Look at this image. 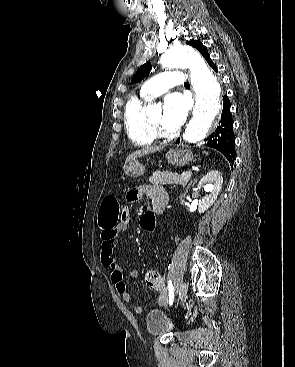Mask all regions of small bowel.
Here are the masks:
<instances>
[{"instance_id":"obj_1","label":"small bowel","mask_w":295,"mask_h":367,"mask_svg":"<svg viewBox=\"0 0 295 367\" xmlns=\"http://www.w3.org/2000/svg\"><path fill=\"white\" fill-rule=\"evenodd\" d=\"M147 196L151 199L152 204L155 201H163L167 203L168 195L162 186L158 185H142L139 187L132 188L127 194V200L130 203L138 202ZM131 218V209L122 208L120 223L113 227H102L101 229V263L103 266L108 268L111 272L110 278L115 286L116 291L121 295L122 300L125 303H130L132 300L131 294L127 291L126 283L124 281L123 268L114 257V251L117 245V237L120 233L124 232L128 228L129 219ZM131 277H137L138 271L132 269L129 271ZM147 286L158 292V303L164 304L166 300V290L163 282V273L161 271H150L147 273L145 278ZM136 313L142 312L140 305L134 306Z\"/></svg>"}]
</instances>
